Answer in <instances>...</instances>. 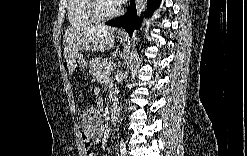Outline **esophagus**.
Here are the masks:
<instances>
[{
    "label": "esophagus",
    "instance_id": "34e87169",
    "mask_svg": "<svg viewBox=\"0 0 247 156\" xmlns=\"http://www.w3.org/2000/svg\"><path fill=\"white\" fill-rule=\"evenodd\" d=\"M119 32H120V33H124V30H123V29H120Z\"/></svg>",
    "mask_w": 247,
    "mask_h": 156
}]
</instances>
